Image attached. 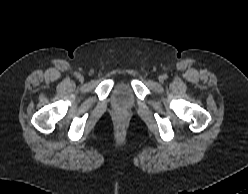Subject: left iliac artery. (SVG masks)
Returning <instances> with one entry per match:
<instances>
[{"label":"left iliac artery","instance_id":"44dca946","mask_svg":"<svg viewBox=\"0 0 248 194\" xmlns=\"http://www.w3.org/2000/svg\"><path fill=\"white\" fill-rule=\"evenodd\" d=\"M163 78H164V79H167V78H168L167 74H164V75H163Z\"/></svg>","mask_w":248,"mask_h":194}]
</instances>
